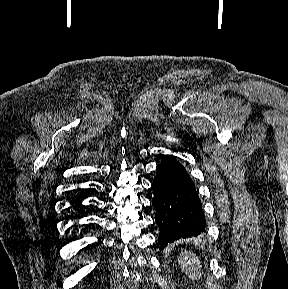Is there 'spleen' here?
<instances>
[{
  "instance_id": "1",
  "label": "spleen",
  "mask_w": 288,
  "mask_h": 289,
  "mask_svg": "<svg viewBox=\"0 0 288 289\" xmlns=\"http://www.w3.org/2000/svg\"><path fill=\"white\" fill-rule=\"evenodd\" d=\"M178 262L185 274L192 280L197 281L201 277V262L194 253L182 251Z\"/></svg>"
}]
</instances>
